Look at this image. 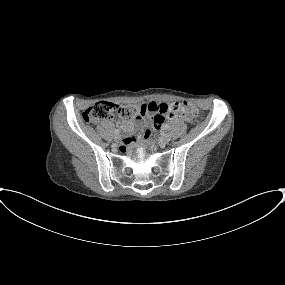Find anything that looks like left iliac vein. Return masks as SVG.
<instances>
[{
    "instance_id": "left-iliac-vein-1",
    "label": "left iliac vein",
    "mask_w": 285,
    "mask_h": 285,
    "mask_svg": "<svg viewBox=\"0 0 285 285\" xmlns=\"http://www.w3.org/2000/svg\"><path fill=\"white\" fill-rule=\"evenodd\" d=\"M171 140V135L169 133H165L160 138L161 143L167 144Z\"/></svg>"
}]
</instances>
